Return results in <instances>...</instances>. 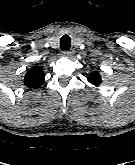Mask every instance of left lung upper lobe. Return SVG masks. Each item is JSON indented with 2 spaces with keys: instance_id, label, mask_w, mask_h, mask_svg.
<instances>
[{
  "instance_id": "5c2ea615",
  "label": "left lung upper lobe",
  "mask_w": 135,
  "mask_h": 165,
  "mask_svg": "<svg viewBox=\"0 0 135 165\" xmlns=\"http://www.w3.org/2000/svg\"><path fill=\"white\" fill-rule=\"evenodd\" d=\"M101 76L98 72H92L88 77V81L93 85H99L101 83Z\"/></svg>"
}]
</instances>
